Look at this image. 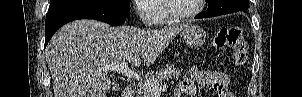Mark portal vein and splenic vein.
I'll return each mask as SVG.
<instances>
[{
	"mask_svg": "<svg viewBox=\"0 0 302 97\" xmlns=\"http://www.w3.org/2000/svg\"><path fill=\"white\" fill-rule=\"evenodd\" d=\"M104 70L105 71L118 72V73H121L122 75H124L126 77H129V78L135 79L137 81H140L141 84H144L145 86H147L149 88L151 94H159L163 90V88L158 84L142 81V78L138 73H136V72L132 71L131 69H129L127 62H123V63L118 64V65L107 66V67L104 68Z\"/></svg>",
	"mask_w": 302,
	"mask_h": 97,
	"instance_id": "obj_1",
	"label": "portal vein and splenic vein"
}]
</instances>
